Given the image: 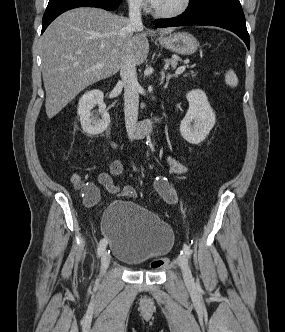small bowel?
Masks as SVG:
<instances>
[{
  "mask_svg": "<svg viewBox=\"0 0 285 332\" xmlns=\"http://www.w3.org/2000/svg\"><path fill=\"white\" fill-rule=\"evenodd\" d=\"M168 162L172 173L180 175L186 171L185 166L175 158L168 157ZM122 171L123 164L119 159H116L110 164V174L106 172L100 173L98 175V182L109 193L115 194L119 197L134 198L137 194L134 187L128 185L120 187L112 180L111 175L116 177L120 176ZM71 182L73 187L83 195L86 206L92 207L99 201V189L88 178L82 177L79 173L75 172L71 176ZM154 189L168 204L176 203V194L167 178L157 177L154 181Z\"/></svg>",
  "mask_w": 285,
  "mask_h": 332,
  "instance_id": "small-bowel-1",
  "label": "small bowel"
}]
</instances>
